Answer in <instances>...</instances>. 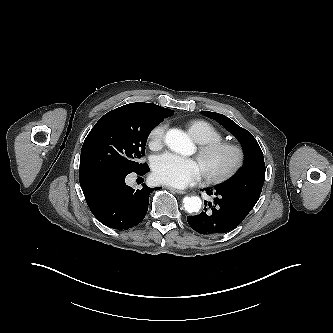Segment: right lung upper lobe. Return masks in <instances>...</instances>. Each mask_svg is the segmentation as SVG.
Masks as SVG:
<instances>
[{"label":"right lung upper lobe","mask_w":333,"mask_h":333,"mask_svg":"<svg viewBox=\"0 0 333 333\" xmlns=\"http://www.w3.org/2000/svg\"><path fill=\"white\" fill-rule=\"evenodd\" d=\"M119 108L145 110V111L157 113V114L165 116V117H169V116L173 115V113H174L173 110L160 107L156 104L142 103V102L127 104V105L121 106Z\"/></svg>","instance_id":"1"}]
</instances>
